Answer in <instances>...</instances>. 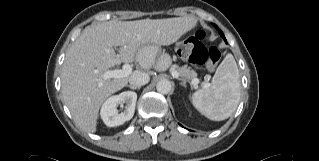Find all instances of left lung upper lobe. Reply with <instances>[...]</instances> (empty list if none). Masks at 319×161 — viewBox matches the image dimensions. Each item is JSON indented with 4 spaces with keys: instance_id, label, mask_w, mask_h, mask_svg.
Returning a JSON list of instances; mask_svg holds the SVG:
<instances>
[{
    "instance_id": "1",
    "label": "left lung upper lobe",
    "mask_w": 319,
    "mask_h": 161,
    "mask_svg": "<svg viewBox=\"0 0 319 161\" xmlns=\"http://www.w3.org/2000/svg\"><path fill=\"white\" fill-rule=\"evenodd\" d=\"M219 33H220V35L223 37V39H224L225 42H226V38H225L224 34L222 33V31H219Z\"/></svg>"
}]
</instances>
